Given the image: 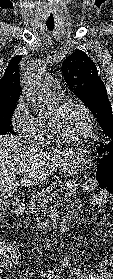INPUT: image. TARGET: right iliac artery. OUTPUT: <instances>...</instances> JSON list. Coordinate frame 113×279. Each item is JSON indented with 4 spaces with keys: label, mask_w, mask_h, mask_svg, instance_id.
<instances>
[{
    "label": "right iliac artery",
    "mask_w": 113,
    "mask_h": 279,
    "mask_svg": "<svg viewBox=\"0 0 113 279\" xmlns=\"http://www.w3.org/2000/svg\"><path fill=\"white\" fill-rule=\"evenodd\" d=\"M54 275H52V274H48V279H51L52 277H53Z\"/></svg>",
    "instance_id": "82829eb1"
}]
</instances>
